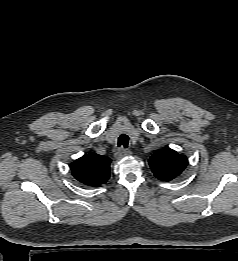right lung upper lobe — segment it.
<instances>
[{
  "label": "right lung upper lobe",
  "instance_id": "obj_1",
  "mask_svg": "<svg viewBox=\"0 0 238 261\" xmlns=\"http://www.w3.org/2000/svg\"><path fill=\"white\" fill-rule=\"evenodd\" d=\"M111 160L104 155L89 153L75 160L70 168L72 175L79 182L98 187L109 179Z\"/></svg>",
  "mask_w": 238,
  "mask_h": 261
}]
</instances>
